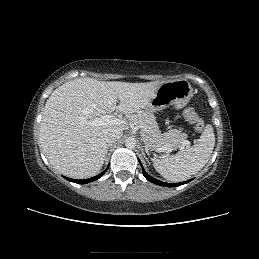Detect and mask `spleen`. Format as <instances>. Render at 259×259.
Returning <instances> with one entry per match:
<instances>
[{"label":"spleen","mask_w":259,"mask_h":259,"mask_svg":"<svg viewBox=\"0 0 259 259\" xmlns=\"http://www.w3.org/2000/svg\"><path fill=\"white\" fill-rule=\"evenodd\" d=\"M214 145L215 135L212 126L208 124L195 145L180 150L170 158L156 161L154 168L168 181H184L205 166Z\"/></svg>","instance_id":"3e777b00"}]
</instances>
